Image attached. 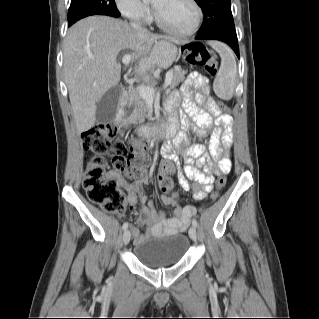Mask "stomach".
<instances>
[{
  "label": "stomach",
  "mask_w": 319,
  "mask_h": 319,
  "mask_svg": "<svg viewBox=\"0 0 319 319\" xmlns=\"http://www.w3.org/2000/svg\"><path fill=\"white\" fill-rule=\"evenodd\" d=\"M154 57H155V63L154 65L159 67H168L170 66L173 61L176 59L178 49L177 47L168 41H160L158 42L153 50ZM149 69H141L139 68V73L145 75L147 78V71Z\"/></svg>",
  "instance_id": "stomach-1"
}]
</instances>
